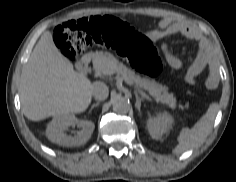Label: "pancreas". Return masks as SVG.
<instances>
[{
    "mask_svg": "<svg viewBox=\"0 0 236 182\" xmlns=\"http://www.w3.org/2000/svg\"><path fill=\"white\" fill-rule=\"evenodd\" d=\"M93 66L97 71L103 74H112L116 72L123 78H129L138 88L146 90L157 102L171 108L176 107V99L173 94L168 92V87L163 86L154 80L140 77L134 71L127 68L123 63L119 62L110 53H95L93 55Z\"/></svg>",
    "mask_w": 236,
    "mask_h": 182,
    "instance_id": "cf45deb5",
    "label": "pancreas"
}]
</instances>
